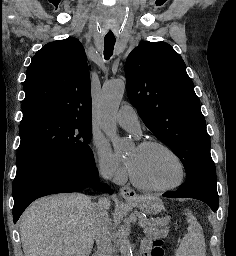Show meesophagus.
Masks as SVG:
<instances>
[{
  "label": "esophagus",
  "instance_id": "obj_1",
  "mask_svg": "<svg viewBox=\"0 0 236 256\" xmlns=\"http://www.w3.org/2000/svg\"><path fill=\"white\" fill-rule=\"evenodd\" d=\"M120 194L125 200H133L137 198L136 192L129 186H123L120 189Z\"/></svg>",
  "mask_w": 236,
  "mask_h": 256
}]
</instances>
